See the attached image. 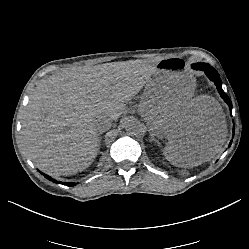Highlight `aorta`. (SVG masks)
<instances>
[{"instance_id": "762f6f07", "label": "aorta", "mask_w": 249, "mask_h": 249, "mask_svg": "<svg viewBox=\"0 0 249 249\" xmlns=\"http://www.w3.org/2000/svg\"><path fill=\"white\" fill-rule=\"evenodd\" d=\"M126 131L131 136H139L143 132V125L138 120H129L126 124Z\"/></svg>"}]
</instances>
